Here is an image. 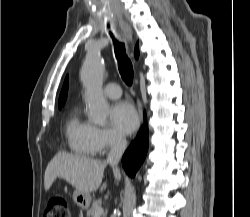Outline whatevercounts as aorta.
<instances>
[{
  "label": "aorta",
  "instance_id": "aorta-1",
  "mask_svg": "<svg viewBox=\"0 0 250 217\" xmlns=\"http://www.w3.org/2000/svg\"><path fill=\"white\" fill-rule=\"evenodd\" d=\"M105 66L99 55L88 54L80 71L85 89V102L89 119L98 125H104L109 113V105L103 96V74Z\"/></svg>",
  "mask_w": 250,
  "mask_h": 217
}]
</instances>
